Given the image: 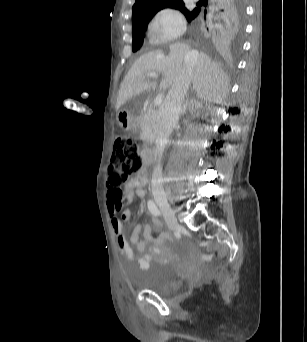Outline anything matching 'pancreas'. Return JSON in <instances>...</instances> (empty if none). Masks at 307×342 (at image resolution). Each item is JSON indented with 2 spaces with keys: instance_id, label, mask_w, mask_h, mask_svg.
I'll return each mask as SVG.
<instances>
[{
  "instance_id": "cf45deb5",
  "label": "pancreas",
  "mask_w": 307,
  "mask_h": 342,
  "mask_svg": "<svg viewBox=\"0 0 307 342\" xmlns=\"http://www.w3.org/2000/svg\"><path fill=\"white\" fill-rule=\"evenodd\" d=\"M155 120H156V112H147V114H143L142 122L140 124V130H142V132H146L147 122H150V124L153 128V122H155Z\"/></svg>"
}]
</instances>
